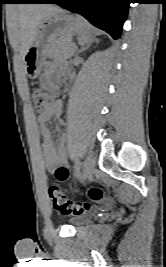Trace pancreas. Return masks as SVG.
Segmentation results:
<instances>
[{"label":"pancreas","instance_id":"obj_1","mask_svg":"<svg viewBox=\"0 0 166 267\" xmlns=\"http://www.w3.org/2000/svg\"><path fill=\"white\" fill-rule=\"evenodd\" d=\"M74 53L69 37H61L55 40L48 51V56L52 59L70 58Z\"/></svg>","mask_w":166,"mask_h":267}]
</instances>
